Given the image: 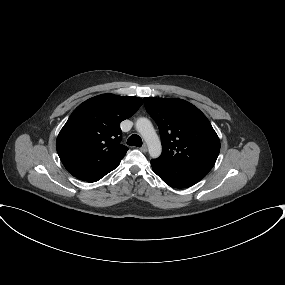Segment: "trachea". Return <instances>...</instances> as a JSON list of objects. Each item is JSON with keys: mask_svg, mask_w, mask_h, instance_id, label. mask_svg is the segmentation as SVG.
Segmentation results:
<instances>
[{"mask_svg": "<svg viewBox=\"0 0 285 285\" xmlns=\"http://www.w3.org/2000/svg\"><path fill=\"white\" fill-rule=\"evenodd\" d=\"M127 145L141 147L142 146V139L139 135L133 134L128 138Z\"/></svg>", "mask_w": 285, "mask_h": 285, "instance_id": "3493384b", "label": "trachea"}]
</instances>
